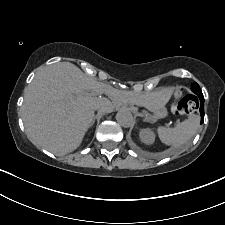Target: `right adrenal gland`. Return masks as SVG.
<instances>
[{
	"label": "right adrenal gland",
	"instance_id": "obj_1",
	"mask_svg": "<svg viewBox=\"0 0 225 225\" xmlns=\"http://www.w3.org/2000/svg\"><path fill=\"white\" fill-rule=\"evenodd\" d=\"M94 122H95V118H94V120H93V124H94Z\"/></svg>",
	"mask_w": 225,
	"mask_h": 225
}]
</instances>
